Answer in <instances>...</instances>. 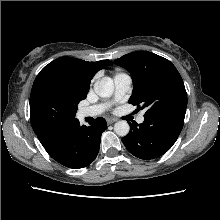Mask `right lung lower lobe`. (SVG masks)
I'll use <instances>...</instances> for the list:
<instances>
[{
  "instance_id": "98d812e1",
  "label": "right lung lower lobe",
  "mask_w": 220,
  "mask_h": 220,
  "mask_svg": "<svg viewBox=\"0 0 220 220\" xmlns=\"http://www.w3.org/2000/svg\"><path fill=\"white\" fill-rule=\"evenodd\" d=\"M90 125L81 126L76 119L44 145L45 150L54 160L66 167L88 166L98 154L101 135L106 130L107 123L104 118L99 117Z\"/></svg>"
}]
</instances>
